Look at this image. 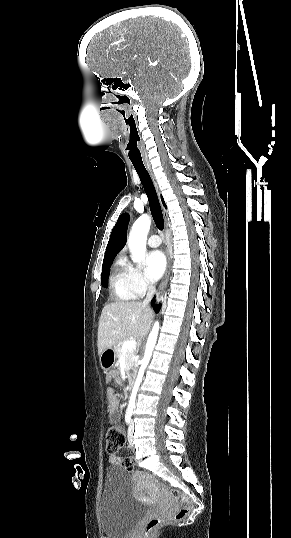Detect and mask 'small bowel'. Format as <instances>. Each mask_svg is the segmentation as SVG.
I'll return each instance as SVG.
<instances>
[{
	"label": "small bowel",
	"instance_id": "obj_1",
	"mask_svg": "<svg viewBox=\"0 0 291 538\" xmlns=\"http://www.w3.org/2000/svg\"><path fill=\"white\" fill-rule=\"evenodd\" d=\"M113 379H115L117 382H120V380L117 377H115L114 375H110V376L107 377V381H111ZM106 393H107V400H108V413H109L110 417L116 418L117 417V410H118V401H117L115 392H114L113 388L108 387ZM109 460H110L111 464L117 465L121 461V457L116 456V455H112V456H110Z\"/></svg>",
	"mask_w": 291,
	"mask_h": 538
}]
</instances>
